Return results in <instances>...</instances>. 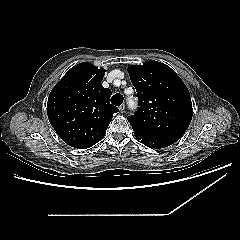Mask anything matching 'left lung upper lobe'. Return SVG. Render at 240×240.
I'll use <instances>...</instances> for the list:
<instances>
[{"label": "left lung upper lobe", "instance_id": "left-lung-upper-lobe-1", "mask_svg": "<svg viewBox=\"0 0 240 240\" xmlns=\"http://www.w3.org/2000/svg\"><path fill=\"white\" fill-rule=\"evenodd\" d=\"M137 91L138 111L128 116L134 134L180 138L192 119L190 93L167 65L150 60L128 68Z\"/></svg>", "mask_w": 240, "mask_h": 240}]
</instances>
